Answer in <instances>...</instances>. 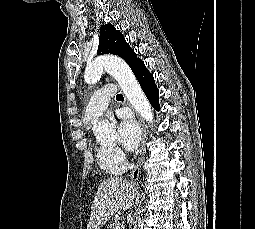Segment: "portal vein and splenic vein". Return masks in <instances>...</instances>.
Listing matches in <instances>:
<instances>
[{
    "label": "portal vein and splenic vein",
    "mask_w": 255,
    "mask_h": 229,
    "mask_svg": "<svg viewBox=\"0 0 255 229\" xmlns=\"http://www.w3.org/2000/svg\"><path fill=\"white\" fill-rule=\"evenodd\" d=\"M114 229H120V224L119 223H117V225L115 226V228Z\"/></svg>",
    "instance_id": "portal-vein-and-splenic-vein-1"
}]
</instances>
